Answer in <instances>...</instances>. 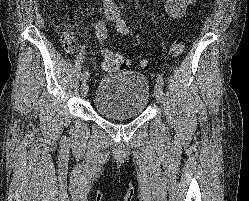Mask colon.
Masks as SVG:
<instances>
[{"mask_svg":"<svg viewBox=\"0 0 249 201\" xmlns=\"http://www.w3.org/2000/svg\"><path fill=\"white\" fill-rule=\"evenodd\" d=\"M185 49V41L182 38L176 39L170 48V53L173 56H178L183 53ZM142 66H146L145 61H141ZM103 67L107 70H125L128 67L127 60L116 53L106 52L103 57Z\"/></svg>","mask_w":249,"mask_h":201,"instance_id":"5ec220e1","label":"colon"}]
</instances>
